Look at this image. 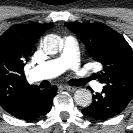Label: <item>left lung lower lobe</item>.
<instances>
[{
  "label": "left lung lower lobe",
  "mask_w": 133,
  "mask_h": 133,
  "mask_svg": "<svg viewBox=\"0 0 133 133\" xmlns=\"http://www.w3.org/2000/svg\"><path fill=\"white\" fill-rule=\"evenodd\" d=\"M129 102V98L102 91L93 95L92 104L82 113L95 119H108L121 113Z\"/></svg>",
  "instance_id": "1"
}]
</instances>
